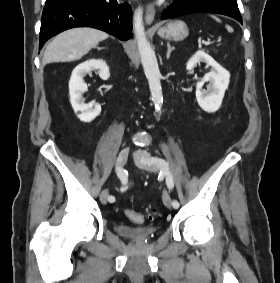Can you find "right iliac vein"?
<instances>
[{"label": "right iliac vein", "instance_id": "right-iliac-vein-1", "mask_svg": "<svg viewBox=\"0 0 280 283\" xmlns=\"http://www.w3.org/2000/svg\"><path fill=\"white\" fill-rule=\"evenodd\" d=\"M128 155H129V149L128 148H124L122 149L119 154H118V157H117V164L119 166H123L125 165V163L127 162V159H128ZM108 195H109V192L107 189L103 190L101 193H100V196H99V200L102 204H106L107 203V199H108Z\"/></svg>", "mask_w": 280, "mask_h": 283}]
</instances>
